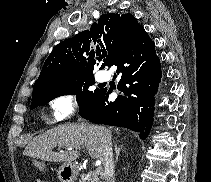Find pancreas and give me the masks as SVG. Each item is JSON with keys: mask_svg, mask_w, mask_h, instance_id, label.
Segmentation results:
<instances>
[{"mask_svg": "<svg viewBox=\"0 0 211 182\" xmlns=\"http://www.w3.org/2000/svg\"><path fill=\"white\" fill-rule=\"evenodd\" d=\"M79 182H101L96 171L82 174L79 178Z\"/></svg>", "mask_w": 211, "mask_h": 182, "instance_id": "pancreas-1", "label": "pancreas"}]
</instances>
